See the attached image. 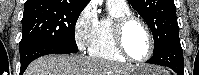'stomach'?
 Masks as SVG:
<instances>
[{"instance_id":"0dacf381","label":"stomach","mask_w":199,"mask_h":75,"mask_svg":"<svg viewBox=\"0 0 199 75\" xmlns=\"http://www.w3.org/2000/svg\"><path fill=\"white\" fill-rule=\"evenodd\" d=\"M130 75H165V72L159 70L158 67L143 64L136 67Z\"/></svg>"}]
</instances>
